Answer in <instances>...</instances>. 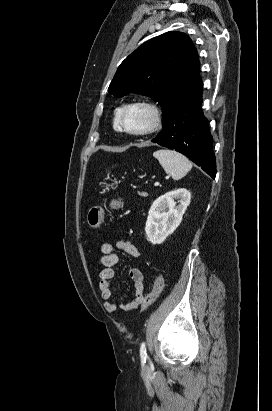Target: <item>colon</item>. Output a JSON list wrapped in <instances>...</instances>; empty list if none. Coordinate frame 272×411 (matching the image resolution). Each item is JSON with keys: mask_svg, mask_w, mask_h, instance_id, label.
<instances>
[{"mask_svg": "<svg viewBox=\"0 0 272 411\" xmlns=\"http://www.w3.org/2000/svg\"><path fill=\"white\" fill-rule=\"evenodd\" d=\"M123 202L120 199L112 200L108 207L113 210L122 208ZM107 206L96 205L93 206L88 213V224L93 231H99L102 227L105 211ZM164 289V279L160 273H157L154 279V283L150 292L146 295L139 297L135 304V309L139 308L140 311H145L150 307L160 296Z\"/></svg>", "mask_w": 272, "mask_h": 411, "instance_id": "1", "label": "colon"}]
</instances>
